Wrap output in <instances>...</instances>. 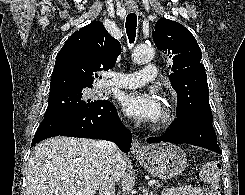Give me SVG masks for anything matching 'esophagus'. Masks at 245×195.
Returning <instances> with one entry per match:
<instances>
[{
  "instance_id": "esophagus-1",
  "label": "esophagus",
  "mask_w": 245,
  "mask_h": 195,
  "mask_svg": "<svg viewBox=\"0 0 245 195\" xmlns=\"http://www.w3.org/2000/svg\"><path fill=\"white\" fill-rule=\"evenodd\" d=\"M128 10L130 12H134L137 10V6H129ZM142 150H143L142 145L138 142V140H134L131 147L132 154H140Z\"/></svg>"
}]
</instances>
